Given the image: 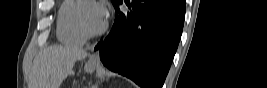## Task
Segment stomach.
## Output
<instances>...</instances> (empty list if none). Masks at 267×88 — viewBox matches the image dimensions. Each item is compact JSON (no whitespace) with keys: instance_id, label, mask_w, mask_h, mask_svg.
Returning <instances> with one entry per match:
<instances>
[{"instance_id":"stomach-1","label":"stomach","mask_w":267,"mask_h":88,"mask_svg":"<svg viewBox=\"0 0 267 88\" xmlns=\"http://www.w3.org/2000/svg\"><path fill=\"white\" fill-rule=\"evenodd\" d=\"M96 67H97L96 63L88 62L85 65V71L88 73H93L95 71Z\"/></svg>"}]
</instances>
